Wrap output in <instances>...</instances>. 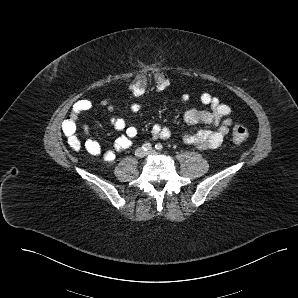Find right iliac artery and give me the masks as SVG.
<instances>
[{
	"instance_id": "obj_1",
	"label": "right iliac artery",
	"mask_w": 298,
	"mask_h": 298,
	"mask_svg": "<svg viewBox=\"0 0 298 298\" xmlns=\"http://www.w3.org/2000/svg\"><path fill=\"white\" fill-rule=\"evenodd\" d=\"M142 149L144 151H150L152 149V145L150 143H145L142 145Z\"/></svg>"
}]
</instances>
